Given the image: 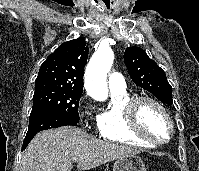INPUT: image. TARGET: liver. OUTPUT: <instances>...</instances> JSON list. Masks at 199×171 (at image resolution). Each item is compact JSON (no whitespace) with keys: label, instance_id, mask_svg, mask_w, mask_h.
Wrapping results in <instances>:
<instances>
[{"label":"liver","instance_id":"obj_1","mask_svg":"<svg viewBox=\"0 0 199 171\" xmlns=\"http://www.w3.org/2000/svg\"><path fill=\"white\" fill-rule=\"evenodd\" d=\"M139 151L125 145L103 141L72 126L38 133L23 152L19 171H71L74 161L78 170H90Z\"/></svg>","mask_w":199,"mask_h":171}]
</instances>
